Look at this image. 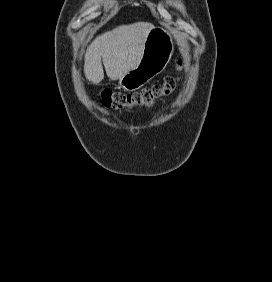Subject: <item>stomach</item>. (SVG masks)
Returning <instances> with one entry per match:
<instances>
[{"label":"stomach","instance_id":"stomach-1","mask_svg":"<svg viewBox=\"0 0 272 282\" xmlns=\"http://www.w3.org/2000/svg\"><path fill=\"white\" fill-rule=\"evenodd\" d=\"M173 51L172 37L164 29L153 27L145 40L140 61L135 68L119 79V87L126 91L140 89L164 71Z\"/></svg>","mask_w":272,"mask_h":282}]
</instances>
